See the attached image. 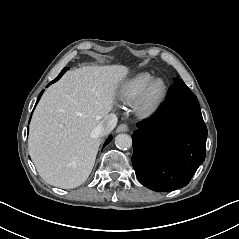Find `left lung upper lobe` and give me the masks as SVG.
I'll return each instance as SVG.
<instances>
[{
  "label": "left lung upper lobe",
  "instance_id": "1",
  "mask_svg": "<svg viewBox=\"0 0 239 239\" xmlns=\"http://www.w3.org/2000/svg\"><path fill=\"white\" fill-rule=\"evenodd\" d=\"M179 81H183V80L178 79V78H174V82H179Z\"/></svg>",
  "mask_w": 239,
  "mask_h": 239
}]
</instances>
